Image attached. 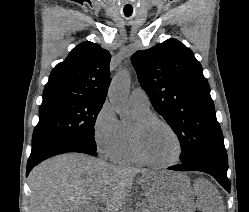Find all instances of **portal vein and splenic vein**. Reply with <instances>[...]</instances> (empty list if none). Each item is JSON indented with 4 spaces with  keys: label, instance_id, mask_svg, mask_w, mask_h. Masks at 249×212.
<instances>
[{
    "label": "portal vein and splenic vein",
    "instance_id": "18ae733b",
    "mask_svg": "<svg viewBox=\"0 0 249 212\" xmlns=\"http://www.w3.org/2000/svg\"><path fill=\"white\" fill-rule=\"evenodd\" d=\"M93 206H95V210H96V208H98V204H93Z\"/></svg>",
    "mask_w": 249,
    "mask_h": 212
}]
</instances>
